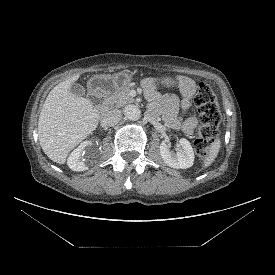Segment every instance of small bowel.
<instances>
[{"instance_id":"1","label":"small bowel","mask_w":275,"mask_h":275,"mask_svg":"<svg viewBox=\"0 0 275 275\" xmlns=\"http://www.w3.org/2000/svg\"><path fill=\"white\" fill-rule=\"evenodd\" d=\"M174 82L181 93V99L171 94L160 96L157 92V82L153 79H146L143 87L146 95L152 101L153 108L163 112L164 119L168 124L175 128H182L188 134H192L196 120L192 117L183 119L181 115L190 106V100L195 93V83L183 76L176 77Z\"/></svg>"}]
</instances>
